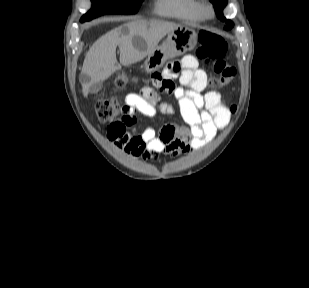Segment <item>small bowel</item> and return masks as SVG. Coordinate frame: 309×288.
<instances>
[{"mask_svg": "<svg viewBox=\"0 0 309 288\" xmlns=\"http://www.w3.org/2000/svg\"><path fill=\"white\" fill-rule=\"evenodd\" d=\"M177 77L179 86L174 83ZM153 82L156 86L166 85V91L178 103L186 126L170 124L160 130L146 128L141 134H133L129 131L132 125L112 122L108 125L107 138L126 154L142 160L151 157L155 160L160 153L175 156L197 151L227 126L231 111L219 92H204L207 75L199 68L194 56L186 55L179 62L168 65L162 76H156ZM159 100L158 93L145 86L137 93H129L125 106L150 118L158 114L173 115L174 105Z\"/></svg>", "mask_w": 309, "mask_h": 288, "instance_id": "c3829d8e", "label": "small bowel"}]
</instances>
